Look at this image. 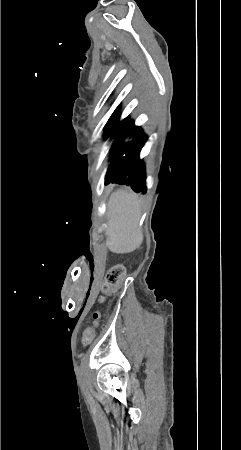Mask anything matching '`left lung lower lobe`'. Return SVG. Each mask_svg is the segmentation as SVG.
<instances>
[{
  "mask_svg": "<svg viewBox=\"0 0 241 450\" xmlns=\"http://www.w3.org/2000/svg\"><path fill=\"white\" fill-rule=\"evenodd\" d=\"M119 108L110 117L105 130V136L114 131L116 140L111 149L112 154L116 152L122 141L130 135H135V139L125 148L120 149L117 156L110 164L105 184L110 182L130 185L135 191L146 193L145 174L142 160L139 159V140L144 137L140 127H134V122L125 118L119 122Z\"/></svg>",
  "mask_w": 241,
  "mask_h": 450,
  "instance_id": "left-lung-lower-lobe-1",
  "label": "left lung lower lobe"
}]
</instances>
